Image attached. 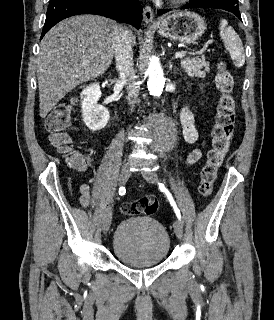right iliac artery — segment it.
I'll return each mask as SVG.
<instances>
[{
    "label": "right iliac artery",
    "instance_id": "1",
    "mask_svg": "<svg viewBox=\"0 0 274 320\" xmlns=\"http://www.w3.org/2000/svg\"><path fill=\"white\" fill-rule=\"evenodd\" d=\"M126 193V189L124 187L119 188V194L124 195Z\"/></svg>",
    "mask_w": 274,
    "mask_h": 320
}]
</instances>
